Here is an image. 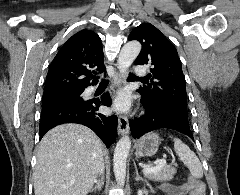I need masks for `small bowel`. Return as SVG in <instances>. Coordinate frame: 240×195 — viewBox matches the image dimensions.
Segmentation results:
<instances>
[{
    "mask_svg": "<svg viewBox=\"0 0 240 195\" xmlns=\"http://www.w3.org/2000/svg\"><path fill=\"white\" fill-rule=\"evenodd\" d=\"M163 195H205V186H188V182L182 184L164 183L159 186Z\"/></svg>",
    "mask_w": 240,
    "mask_h": 195,
    "instance_id": "small-bowel-1",
    "label": "small bowel"
}]
</instances>
